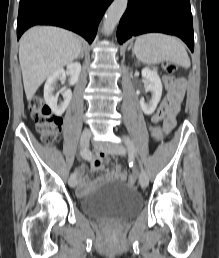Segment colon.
Returning a JSON list of instances; mask_svg holds the SVG:
<instances>
[{
    "label": "colon",
    "instance_id": "5ec220e1",
    "mask_svg": "<svg viewBox=\"0 0 219 258\" xmlns=\"http://www.w3.org/2000/svg\"><path fill=\"white\" fill-rule=\"evenodd\" d=\"M163 69L167 73H174L177 66L172 62H165ZM30 116L33 119L36 129L41 135L43 141L52 144L58 138L61 132L62 119L54 115L41 96H34L29 103ZM151 136L155 143H160L163 139V129L161 122L151 121ZM137 183L135 176L128 178V185L135 187Z\"/></svg>",
    "mask_w": 219,
    "mask_h": 258
}]
</instances>
